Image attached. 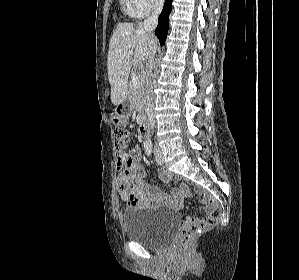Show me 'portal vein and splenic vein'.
I'll list each match as a JSON object with an SVG mask.
<instances>
[{"label": "portal vein and splenic vein", "mask_w": 299, "mask_h": 280, "mask_svg": "<svg viewBox=\"0 0 299 280\" xmlns=\"http://www.w3.org/2000/svg\"><path fill=\"white\" fill-rule=\"evenodd\" d=\"M133 52L132 51H129L128 54H127V57L129 58L130 56H132ZM131 79H132V87L133 88H138L140 87V80L138 78V76L136 74H133L131 76Z\"/></svg>", "instance_id": "portal-vein-and-splenic-vein-1"}]
</instances>
